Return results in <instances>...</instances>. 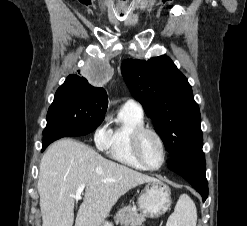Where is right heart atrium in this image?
<instances>
[{
  "mask_svg": "<svg viewBox=\"0 0 247 226\" xmlns=\"http://www.w3.org/2000/svg\"><path fill=\"white\" fill-rule=\"evenodd\" d=\"M109 140V127L107 124H102L97 128L94 134V141L98 148L104 149Z\"/></svg>",
  "mask_w": 247,
  "mask_h": 226,
  "instance_id": "d8ad5b80",
  "label": "right heart atrium"
}]
</instances>
